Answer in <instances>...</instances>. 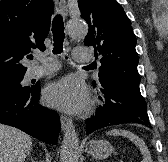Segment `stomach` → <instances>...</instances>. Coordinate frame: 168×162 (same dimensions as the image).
Instances as JSON below:
<instances>
[{
	"label": "stomach",
	"instance_id": "obj_1",
	"mask_svg": "<svg viewBox=\"0 0 168 162\" xmlns=\"http://www.w3.org/2000/svg\"><path fill=\"white\" fill-rule=\"evenodd\" d=\"M86 151L96 159H105L113 152V147L108 141L91 140L86 145Z\"/></svg>",
	"mask_w": 168,
	"mask_h": 162
}]
</instances>
